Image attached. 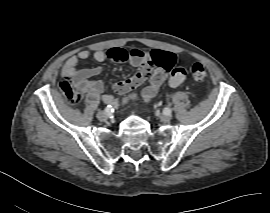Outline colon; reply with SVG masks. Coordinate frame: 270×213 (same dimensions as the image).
Instances as JSON below:
<instances>
[{"label": "colon", "instance_id": "colon-1", "mask_svg": "<svg viewBox=\"0 0 270 213\" xmlns=\"http://www.w3.org/2000/svg\"><path fill=\"white\" fill-rule=\"evenodd\" d=\"M147 55L148 60H151L153 64H157L159 66L164 67L170 72L169 83L172 86H178L183 83L185 79V73L182 68H174L173 56L170 53L156 51L152 55L147 54L145 51L140 49H115L111 57L114 61L117 62H125L131 56L138 55ZM152 68L150 65H145L140 68L139 74L141 77H147L151 74ZM191 74L196 81L203 82L207 79V70L200 63H193L191 65ZM61 89L68 101L69 104L76 106L81 102V98L74 93V91L69 87L67 83H63L61 85Z\"/></svg>", "mask_w": 270, "mask_h": 213}]
</instances>
